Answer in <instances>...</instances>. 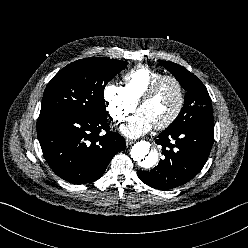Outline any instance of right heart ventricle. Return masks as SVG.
<instances>
[{
    "label": "right heart ventricle",
    "mask_w": 248,
    "mask_h": 248,
    "mask_svg": "<svg viewBox=\"0 0 248 248\" xmlns=\"http://www.w3.org/2000/svg\"><path fill=\"white\" fill-rule=\"evenodd\" d=\"M163 75L148 66H138L123 76V88L130 100L137 104L149 86Z\"/></svg>",
    "instance_id": "obj_1"
}]
</instances>
